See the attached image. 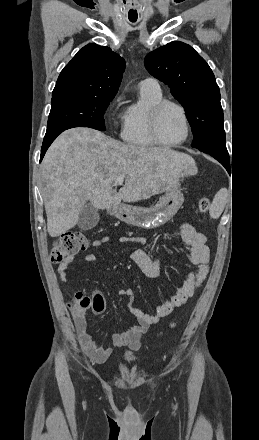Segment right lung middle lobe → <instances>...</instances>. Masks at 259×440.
<instances>
[{"mask_svg":"<svg viewBox=\"0 0 259 440\" xmlns=\"http://www.w3.org/2000/svg\"><path fill=\"white\" fill-rule=\"evenodd\" d=\"M113 98L82 94L52 96L45 137L73 127H90L105 131L103 115Z\"/></svg>","mask_w":259,"mask_h":440,"instance_id":"obj_1","label":"right lung middle lobe"}]
</instances>
